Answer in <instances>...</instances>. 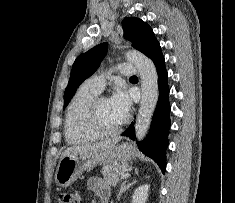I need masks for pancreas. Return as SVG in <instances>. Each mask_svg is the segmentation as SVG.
I'll return each mask as SVG.
<instances>
[{
    "label": "pancreas",
    "mask_w": 235,
    "mask_h": 203,
    "mask_svg": "<svg viewBox=\"0 0 235 203\" xmlns=\"http://www.w3.org/2000/svg\"><path fill=\"white\" fill-rule=\"evenodd\" d=\"M127 168L128 165L125 163L104 166L102 168L104 180L108 184L116 185L120 181L121 176L127 171Z\"/></svg>",
    "instance_id": "pancreas-1"
}]
</instances>
